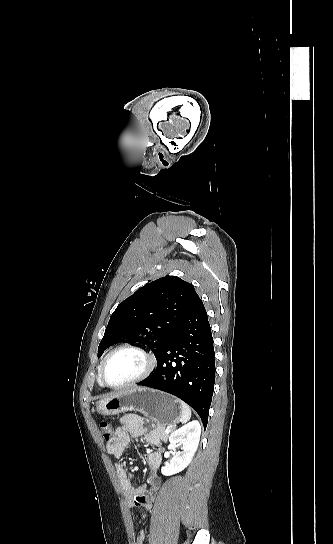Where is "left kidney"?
<instances>
[{
  "label": "left kidney",
  "mask_w": 333,
  "mask_h": 544,
  "mask_svg": "<svg viewBox=\"0 0 333 544\" xmlns=\"http://www.w3.org/2000/svg\"><path fill=\"white\" fill-rule=\"evenodd\" d=\"M201 434V426L198 421H192L171 433L169 442L171 447L181 445V452H176L169 465L161 468L165 476L173 475L184 470L192 461L197 450ZM170 456L169 452L164 454L165 458Z\"/></svg>",
  "instance_id": "5707ae66"
}]
</instances>
